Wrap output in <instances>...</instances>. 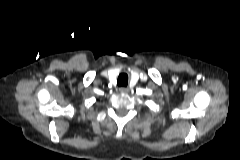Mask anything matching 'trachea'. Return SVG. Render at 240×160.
<instances>
[{
	"label": "trachea",
	"instance_id": "obj_1",
	"mask_svg": "<svg viewBox=\"0 0 240 160\" xmlns=\"http://www.w3.org/2000/svg\"><path fill=\"white\" fill-rule=\"evenodd\" d=\"M128 84V76L126 73H121L117 79V85L119 87H126Z\"/></svg>",
	"mask_w": 240,
	"mask_h": 160
}]
</instances>
